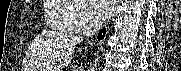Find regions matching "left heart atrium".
Here are the masks:
<instances>
[{"mask_svg":"<svg viewBox=\"0 0 181 71\" xmlns=\"http://www.w3.org/2000/svg\"><path fill=\"white\" fill-rule=\"evenodd\" d=\"M90 9L97 18H107L114 10L116 1L113 0H88Z\"/></svg>","mask_w":181,"mask_h":71,"instance_id":"left-heart-atrium-1","label":"left heart atrium"}]
</instances>
